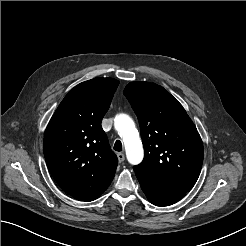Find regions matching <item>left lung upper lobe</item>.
I'll use <instances>...</instances> for the list:
<instances>
[{
  "mask_svg": "<svg viewBox=\"0 0 246 246\" xmlns=\"http://www.w3.org/2000/svg\"><path fill=\"white\" fill-rule=\"evenodd\" d=\"M124 94L136 113L144 146L137 176L188 192L203 162L201 137L182 105L163 87L131 82Z\"/></svg>",
  "mask_w": 246,
  "mask_h": 246,
  "instance_id": "obj_1",
  "label": "left lung upper lobe"
}]
</instances>
